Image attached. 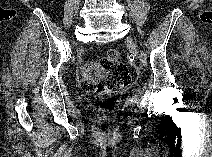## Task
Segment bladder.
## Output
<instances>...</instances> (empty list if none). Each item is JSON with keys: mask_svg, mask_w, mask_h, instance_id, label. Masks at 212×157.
Wrapping results in <instances>:
<instances>
[{"mask_svg": "<svg viewBox=\"0 0 212 157\" xmlns=\"http://www.w3.org/2000/svg\"><path fill=\"white\" fill-rule=\"evenodd\" d=\"M99 97H101V96H98L96 94L86 93V94H81L79 96V99H80L81 103L89 106V105L93 104L94 101Z\"/></svg>", "mask_w": 212, "mask_h": 157, "instance_id": "31cf9c89", "label": "bladder"}]
</instances>
